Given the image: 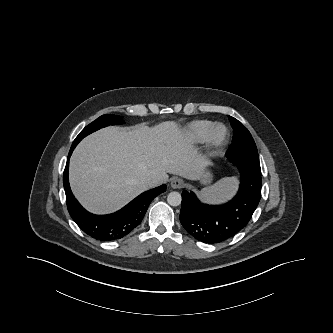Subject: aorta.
<instances>
[{"mask_svg": "<svg viewBox=\"0 0 333 333\" xmlns=\"http://www.w3.org/2000/svg\"><path fill=\"white\" fill-rule=\"evenodd\" d=\"M182 197L179 192H170L167 196V202L171 206H178L181 204Z\"/></svg>", "mask_w": 333, "mask_h": 333, "instance_id": "obj_1", "label": "aorta"}]
</instances>
